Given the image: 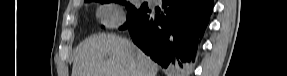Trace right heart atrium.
<instances>
[{"label":"right heart atrium","mask_w":287,"mask_h":76,"mask_svg":"<svg viewBox=\"0 0 287 76\" xmlns=\"http://www.w3.org/2000/svg\"><path fill=\"white\" fill-rule=\"evenodd\" d=\"M98 16L106 27H115L123 19L120 9L114 4L102 5L98 10Z\"/></svg>","instance_id":"d8ad5b80"}]
</instances>
